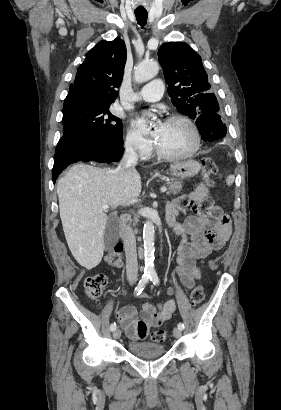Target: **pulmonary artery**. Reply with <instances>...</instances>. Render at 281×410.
I'll return each instance as SVG.
<instances>
[{"label":"pulmonary artery","instance_id":"e3ab8cb5","mask_svg":"<svg viewBox=\"0 0 281 410\" xmlns=\"http://www.w3.org/2000/svg\"><path fill=\"white\" fill-rule=\"evenodd\" d=\"M164 84L160 79H155L142 87V89L129 98L130 102H156L161 99L163 95Z\"/></svg>","mask_w":281,"mask_h":410}]
</instances>
